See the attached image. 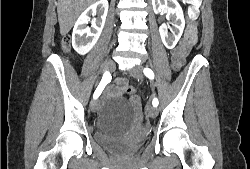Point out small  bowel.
<instances>
[{
    "instance_id": "1",
    "label": "small bowel",
    "mask_w": 250,
    "mask_h": 169,
    "mask_svg": "<svg viewBox=\"0 0 250 169\" xmlns=\"http://www.w3.org/2000/svg\"><path fill=\"white\" fill-rule=\"evenodd\" d=\"M193 43H188L187 41H184L178 48L174 49L172 51V60H176L180 66L183 64L186 56L188 55L191 46ZM127 80L121 77H118L115 80V85L109 87L106 91V97L108 99L116 97L120 94V92L123 90L125 86H127Z\"/></svg>"
}]
</instances>
